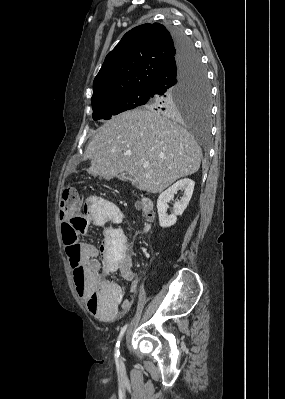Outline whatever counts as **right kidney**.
Wrapping results in <instances>:
<instances>
[{"instance_id":"1","label":"right kidney","mask_w":285,"mask_h":399,"mask_svg":"<svg viewBox=\"0 0 285 399\" xmlns=\"http://www.w3.org/2000/svg\"><path fill=\"white\" fill-rule=\"evenodd\" d=\"M194 186L195 182L193 180L188 178L181 179L159 195L157 200V210L161 227H170L176 223L177 216L182 215L189 204ZM179 190L184 191L183 197H181L180 201L175 202L173 208L174 213L168 216L166 213L168 209L167 203L170 200H173L174 194Z\"/></svg>"}]
</instances>
